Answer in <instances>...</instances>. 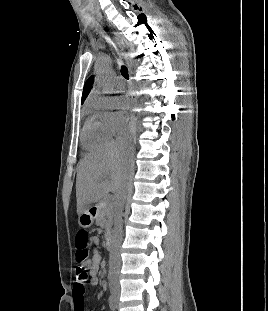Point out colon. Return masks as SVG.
<instances>
[{"instance_id": "colon-1", "label": "colon", "mask_w": 268, "mask_h": 311, "mask_svg": "<svg viewBox=\"0 0 268 311\" xmlns=\"http://www.w3.org/2000/svg\"><path fill=\"white\" fill-rule=\"evenodd\" d=\"M88 246V234L86 231H80L76 236V278L79 282H83L88 277V267L90 263ZM81 292H85V287H80Z\"/></svg>"}]
</instances>
